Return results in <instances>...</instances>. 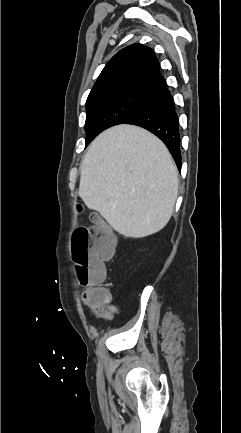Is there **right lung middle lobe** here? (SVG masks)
Listing matches in <instances>:
<instances>
[{
	"label": "right lung middle lobe",
	"mask_w": 241,
	"mask_h": 433,
	"mask_svg": "<svg viewBox=\"0 0 241 433\" xmlns=\"http://www.w3.org/2000/svg\"><path fill=\"white\" fill-rule=\"evenodd\" d=\"M149 98V94L122 93L86 102V146L103 130L124 123Z\"/></svg>",
	"instance_id": "right-lung-middle-lobe-1"
}]
</instances>
